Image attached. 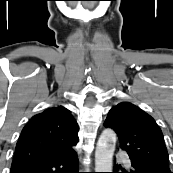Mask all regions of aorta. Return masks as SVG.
<instances>
[{
    "label": "aorta",
    "instance_id": "1",
    "mask_svg": "<svg viewBox=\"0 0 173 173\" xmlns=\"http://www.w3.org/2000/svg\"><path fill=\"white\" fill-rule=\"evenodd\" d=\"M116 134L105 129L99 137L95 151V172H112Z\"/></svg>",
    "mask_w": 173,
    "mask_h": 173
}]
</instances>
